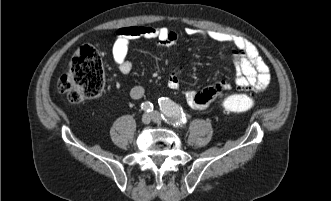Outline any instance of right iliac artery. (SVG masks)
<instances>
[{
	"mask_svg": "<svg viewBox=\"0 0 331 201\" xmlns=\"http://www.w3.org/2000/svg\"><path fill=\"white\" fill-rule=\"evenodd\" d=\"M141 108L144 111L151 112V111H153V104L149 101H146V102L141 104Z\"/></svg>",
	"mask_w": 331,
	"mask_h": 201,
	"instance_id": "1",
	"label": "right iliac artery"
}]
</instances>
